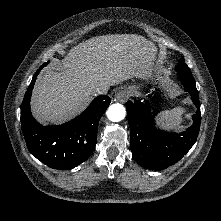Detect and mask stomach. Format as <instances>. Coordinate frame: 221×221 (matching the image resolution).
<instances>
[{"mask_svg": "<svg viewBox=\"0 0 221 221\" xmlns=\"http://www.w3.org/2000/svg\"><path fill=\"white\" fill-rule=\"evenodd\" d=\"M128 89L131 90V91H133V92H137L138 86L132 85V86H129Z\"/></svg>", "mask_w": 221, "mask_h": 221, "instance_id": "1", "label": "stomach"}]
</instances>
